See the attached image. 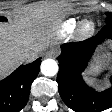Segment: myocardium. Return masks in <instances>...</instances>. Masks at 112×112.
Returning a JSON list of instances; mask_svg holds the SVG:
<instances>
[{"label": "myocardium", "instance_id": "f54148a6", "mask_svg": "<svg viewBox=\"0 0 112 112\" xmlns=\"http://www.w3.org/2000/svg\"><path fill=\"white\" fill-rule=\"evenodd\" d=\"M96 30V24L90 19H85L79 23L76 30V35L80 39L91 37Z\"/></svg>", "mask_w": 112, "mask_h": 112}]
</instances>
